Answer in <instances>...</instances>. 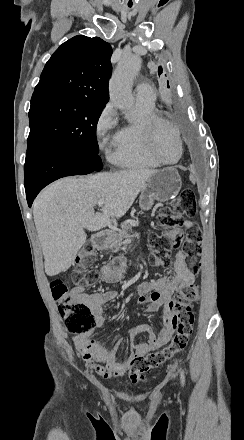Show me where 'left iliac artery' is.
I'll return each instance as SVG.
<instances>
[{"mask_svg":"<svg viewBox=\"0 0 244 440\" xmlns=\"http://www.w3.org/2000/svg\"><path fill=\"white\" fill-rule=\"evenodd\" d=\"M180 380H181L182 386H184V384H185V375H184V371L182 369H180Z\"/></svg>","mask_w":244,"mask_h":440,"instance_id":"obj_1","label":"left iliac artery"}]
</instances>
